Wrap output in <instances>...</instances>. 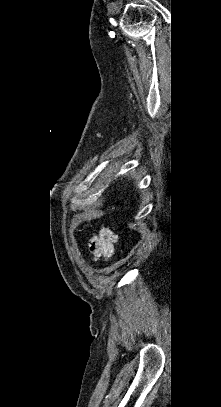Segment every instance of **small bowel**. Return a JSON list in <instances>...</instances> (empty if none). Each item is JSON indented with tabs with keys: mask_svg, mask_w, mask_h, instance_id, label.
<instances>
[{
	"mask_svg": "<svg viewBox=\"0 0 221 407\" xmlns=\"http://www.w3.org/2000/svg\"><path fill=\"white\" fill-rule=\"evenodd\" d=\"M117 240L118 235L107 227H103L98 232L93 233L88 240V249L94 260L110 258L113 255L114 245Z\"/></svg>",
	"mask_w": 221,
	"mask_h": 407,
	"instance_id": "c3829d8e",
	"label": "small bowel"
}]
</instances>
